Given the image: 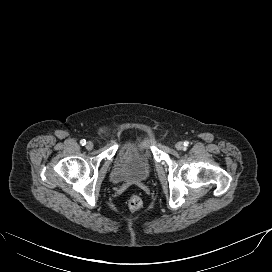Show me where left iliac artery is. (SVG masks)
Instances as JSON below:
<instances>
[{"label":"left iliac artery","mask_w":272,"mask_h":272,"mask_svg":"<svg viewBox=\"0 0 272 272\" xmlns=\"http://www.w3.org/2000/svg\"><path fill=\"white\" fill-rule=\"evenodd\" d=\"M189 145V142L188 141H185L184 142V146L187 147Z\"/></svg>","instance_id":"44dca946"}]
</instances>
